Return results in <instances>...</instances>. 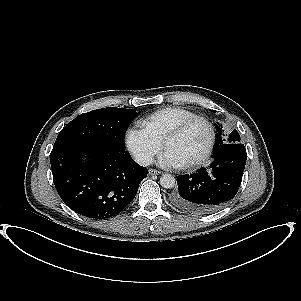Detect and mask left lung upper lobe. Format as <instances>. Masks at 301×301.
<instances>
[{"label": "left lung upper lobe", "mask_w": 301, "mask_h": 301, "mask_svg": "<svg viewBox=\"0 0 301 301\" xmlns=\"http://www.w3.org/2000/svg\"><path fill=\"white\" fill-rule=\"evenodd\" d=\"M215 112V111H214ZM218 133H217V141H216V145L214 148V152H217L221 149H223L226 145L228 144H232V143H240V135L237 132V130H234L231 132V134L229 135L228 140H226L224 138L225 134H223V130L222 127L220 128L217 124L215 125Z\"/></svg>", "instance_id": "1"}]
</instances>
